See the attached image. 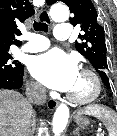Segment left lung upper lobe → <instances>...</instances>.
<instances>
[{
    "label": "left lung upper lobe",
    "mask_w": 117,
    "mask_h": 136,
    "mask_svg": "<svg viewBox=\"0 0 117 136\" xmlns=\"http://www.w3.org/2000/svg\"><path fill=\"white\" fill-rule=\"evenodd\" d=\"M62 2L68 5L71 13L74 14V17L70 18L71 24L80 25L84 32L83 35L78 36L83 42L75 44L76 50L90 61L106 87L110 88L106 74L108 65L104 29L97 22V12L93 3L90 0H64ZM47 3L51 5L54 0H47Z\"/></svg>",
    "instance_id": "1"
}]
</instances>
